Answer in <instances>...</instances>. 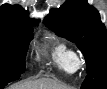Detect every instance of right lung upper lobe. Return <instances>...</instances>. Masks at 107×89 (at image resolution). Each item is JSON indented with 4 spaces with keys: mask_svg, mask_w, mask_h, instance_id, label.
I'll list each match as a JSON object with an SVG mask.
<instances>
[{
    "mask_svg": "<svg viewBox=\"0 0 107 89\" xmlns=\"http://www.w3.org/2000/svg\"><path fill=\"white\" fill-rule=\"evenodd\" d=\"M0 24L31 28V25L38 24V21L30 19L28 12L21 6L4 4L0 7Z\"/></svg>",
    "mask_w": 107,
    "mask_h": 89,
    "instance_id": "obj_1",
    "label": "right lung upper lobe"
}]
</instances>
